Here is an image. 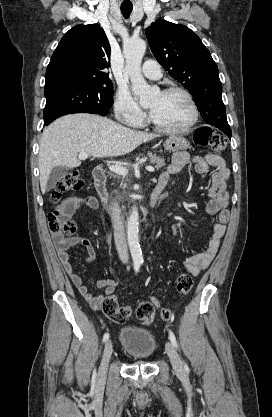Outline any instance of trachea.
<instances>
[{
	"instance_id": "obj_1",
	"label": "trachea",
	"mask_w": 272,
	"mask_h": 417,
	"mask_svg": "<svg viewBox=\"0 0 272 417\" xmlns=\"http://www.w3.org/2000/svg\"><path fill=\"white\" fill-rule=\"evenodd\" d=\"M121 12L125 18H128L132 12V6H121Z\"/></svg>"
}]
</instances>
